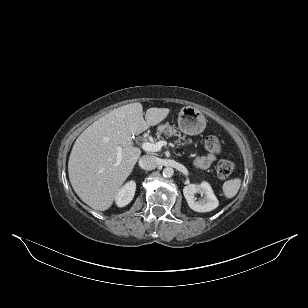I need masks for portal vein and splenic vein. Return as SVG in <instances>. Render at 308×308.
Instances as JSON below:
<instances>
[{
	"label": "portal vein and splenic vein",
	"mask_w": 308,
	"mask_h": 308,
	"mask_svg": "<svg viewBox=\"0 0 308 308\" xmlns=\"http://www.w3.org/2000/svg\"><path fill=\"white\" fill-rule=\"evenodd\" d=\"M168 145L167 141H158L156 143H150V142H144L142 143L141 147L143 150L148 151V152H158L161 150L163 146ZM122 159V154H121V148H118L117 152V162L116 165H119Z\"/></svg>",
	"instance_id": "1"
}]
</instances>
